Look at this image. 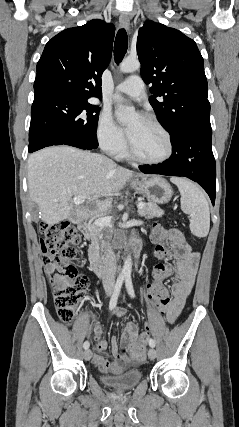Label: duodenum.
I'll return each mask as SVG.
<instances>
[{"label": "duodenum", "instance_id": "1", "mask_svg": "<svg viewBox=\"0 0 239 427\" xmlns=\"http://www.w3.org/2000/svg\"><path fill=\"white\" fill-rule=\"evenodd\" d=\"M80 231L88 241L91 240L92 234L89 227L81 226ZM138 250H139V245L136 244L134 249L135 256L137 255ZM88 261H89L90 270L92 272H94L96 275L100 277H103L105 275L106 269H105L102 257L94 244H90L88 247Z\"/></svg>", "mask_w": 239, "mask_h": 427}]
</instances>
